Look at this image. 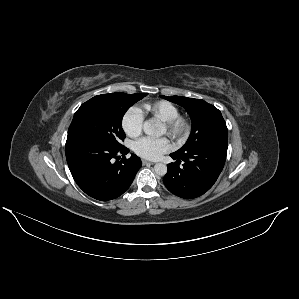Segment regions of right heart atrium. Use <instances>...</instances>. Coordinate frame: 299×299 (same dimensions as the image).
<instances>
[{
	"label": "right heart atrium",
	"instance_id": "d8ad5b80",
	"mask_svg": "<svg viewBox=\"0 0 299 299\" xmlns=\"http://www.w3.org/2000/svg\"><path fill=\"white\" fill-rule=\"evenodd\" d=\"M122 127L130 137H136L142 132L143 115L138 107L130 108L123 117Z\"/></svg>",
	"mask_w": 299,
	"mask_h": 299
}]
</instances>
